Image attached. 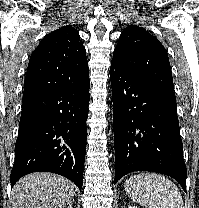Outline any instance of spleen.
<instances>
[{
	"label": "spleen",
	"mask_w": 199,
	"mask_h": 208,
	"mask_svg": "<svg viewBox=\"0 0 199 208\" xmlns=\"http://www.w3.org/2000/svg\"><path fill=\"white\" fill-rule=\"evenodd\" d=\"M125 191L145 208H184L177 186L168 178L155 173H141L128 178Z\"/></svg>",
	"instance_id": "3e777b00"
}]
</instances>
